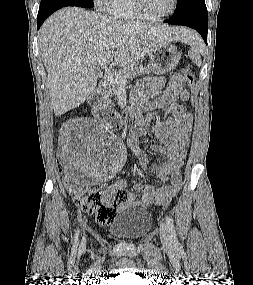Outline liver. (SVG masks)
Masks as SVG:
<instances>
[{
	"label": "liver",
	"instance_id": "1",
	"mask_svg": "<svg viewBox=\"0 0 253 285\" xmlns=\"http://www.w3.org/2000/svg\"><path fill=\"white\" fill-rule=\"evenodd\" d=\"M191 34L185 28L123 22L77 7L57 11L39 31L54 114L60 116L89 97L97 85L96 63L126 67L159 43L186 42ZM112 43L119 44L116 52Z\"/></svg>",
	"mask_w": 253,
	"mask_h": 285
}]
</instances>
